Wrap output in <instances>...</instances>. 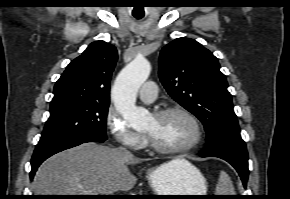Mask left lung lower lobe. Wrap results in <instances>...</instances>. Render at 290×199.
<instances>
[{
  "instance_id": "1",
  "label": "left lung lower lobe",
  "mask_w": 290,
  "mask_h": 199,
  "mask_svg": "<svg viewBox=\"0 0 290 199\" xmlns=\"http://www.w3.org/2000/svg\"><path fill=\"white\" fill-rule=\"evenodd\" d=\"M200 156L226 160L239 173L246 188L249 175L248 153L245 142L241 138H225L214 145L206 146Z\"/></svg>"
}]
</instances>
